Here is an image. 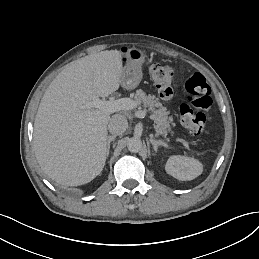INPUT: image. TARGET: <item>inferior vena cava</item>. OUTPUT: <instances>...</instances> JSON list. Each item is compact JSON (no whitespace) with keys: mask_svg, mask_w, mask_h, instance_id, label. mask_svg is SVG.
<instances>
[{"mask_svg":"<svg viewBox=\"0 0 259 259\" xmlns=\"http://www.w3.org/2000/svg\"><path fill=\"white\" fill-rule=\"evenodd\" d=\"M128 128V121L125 116L116 114L113 115L108 123V129L113 135H121Z\"/></svg>","mask_w":259,"mask_h":259,"instance_id":"inferior-vena-cava-1","label":"inferior vena cava"}]
</instances>
